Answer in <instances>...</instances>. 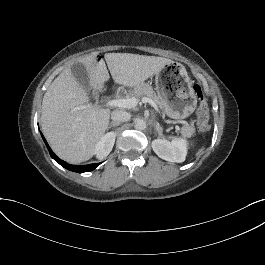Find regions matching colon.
Instances as JSON below:
<instances>
[{
  "mask_svg": "<svg viewBox=\"0 0 265 265\" xmlns=\"http://www.w3.org/2000/svg\"><path fill=\"white\" fill-rule=\"evenodd\" d=\"M194 91L198 98V108L196 112L198 128L201 133H206L210 129L207 102L199 84H194Z\"/></svg>",
  "mask_w": 265,
  "mask_h": 265,
  "instance_id": "1",
  "label": "colon"
}]
</instances>
